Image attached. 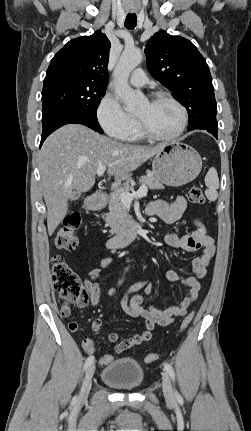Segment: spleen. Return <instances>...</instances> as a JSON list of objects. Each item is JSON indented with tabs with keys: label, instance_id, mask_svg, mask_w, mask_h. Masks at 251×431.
I'll use <instances>...</instances> for the list:
<instances>
[{
	"label": "spleen",
	"instance_id": "1",
	"mask_svg": "<svg viewBox=\"0 0 251 431\" xmlns=\"http://www.w3.org/2000/svg\"><path fill=\"white\" fill-rule=\"evenodd\" d=\"M205 185L207 190L205 192L206 197L210 201H215L218 197L217 189L219 188L218 173L214 167H211L205 176Z\"/></svg>",
	"mask_w": 251,
	"mask_h": 431
}]
</instances>
